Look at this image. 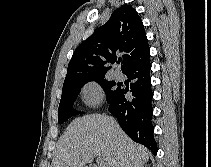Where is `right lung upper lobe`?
I'll list each match as a JSON object with an SVG mask.
<instances>
[{"instance_id": "right-lung-upper-lobe-1", "label": "right lung upper lobe", "mask_w": 211, "mask_h": 167, "mask_svg": "<svg viewBox=\"0 0 211 167\" xmlns=\"http://www.w3.org/2000/svg\"><path fill=\"white\" fill-rule=\"evenodd\" d=\"M121 55L122 72L149 56L144 26L130 5L116 9L110 19L75 50L63 85L89 77H102Z\"/></svg>"}]
</instances>
